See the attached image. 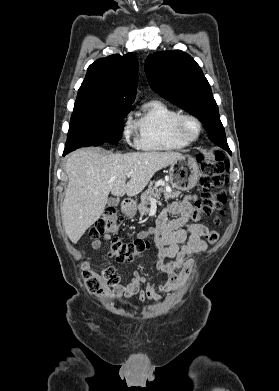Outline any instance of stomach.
<instances>
[{"label": "stomach", "mask_w": 279, "mask_h": 391, "mask_svg": "<svg viewBox=\"0 0 279 391\" xmlns=\"http://www.w3.org/2000/svg\"><path fill=\"white\" fill-rule=\"evenodd\" d=\"M169 175L173 187L180 191H189L199 181L200 171L194 158L181 156L171 164ZM124 213L132 218L136 214V208L133 205H128L125 207Z\"/></svg>", "instance_id": "stomach-1"}]
</instances>
